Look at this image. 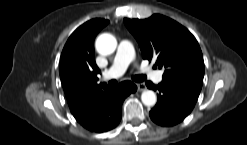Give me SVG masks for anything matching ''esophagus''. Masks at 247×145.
Wrapping results in <instances>:
<instances>
[{"label":"esophagus","mask_w":247,"mask_h":145,"mask_svg":"<svg viewBox=\"0 0 247 145\" xmlns=\"http://www.w3.org/2000/svg\"><path fill=\"white\" fill-rule=\"evenodd\" d=\"M136 85H137L138 91H143L145 89L144 83H137Z\"/></svg>","instance_id":"esophagus-1"}]
</instances>
